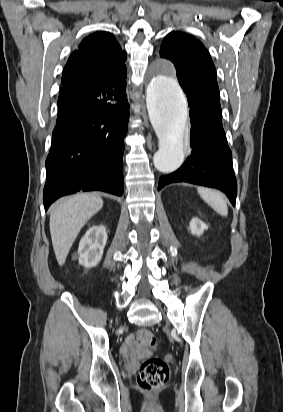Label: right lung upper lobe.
<instances>
[{"label":"right lung upper lobe","mask_w":283,"mask_h":412,"mask_svg":"<svg viewBox=\"0 0 283 412\" xmlns=\"http://www.w3.org/2000/svg\"><path fill=\"white\" fill-rule=\"evenodd\" d=\"M125 60L126 53L112 34L97 32L84 38L63 70L58 108L83 94L93 93L101 85H125Z\"/></svg>","instance_id":"1"}]
</instances>
